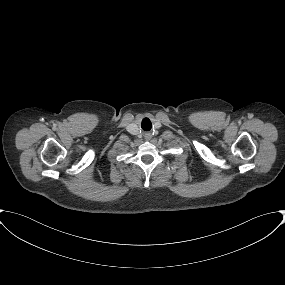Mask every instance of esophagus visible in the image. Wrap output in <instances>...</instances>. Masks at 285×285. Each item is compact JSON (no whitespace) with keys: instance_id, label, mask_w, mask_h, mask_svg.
Here are the masks:
<instances>
[{"instance_id":"esophagus-1","label":"esophagus","mask_w":285,"mask_h":285,"mask_svg":"<svg viewBox=\"0 0 285 285\" xmlns=\"http://www.w3.org/2000/svg\"><path fill=\"white\" fill-rule=\"evenodd\" d=\"M145 137H146L147 139H150V138H151L150 133H146V134H145Z\"/></svg>"}]
</instances>
